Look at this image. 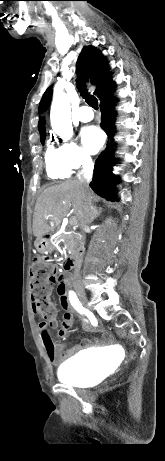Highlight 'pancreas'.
<instances>
[{
    "mask_svg": "<svg viewBox=\"0 0 165 461\" xmlns=\"http://www.w3.org/2000/svg\"><path fill=\"white\" fill-rule=\"evenodd\" d=\"M61 237H64V235H62ZM65 246H66L67 250H69L71 252L75 251V243L70 237H66Z\"/></svg>",
    "mask_w": 165,
    "mask_h": 461,
    "instance_id": "cf45deb5",
    "label": "pancreas"
}]
</instances>
